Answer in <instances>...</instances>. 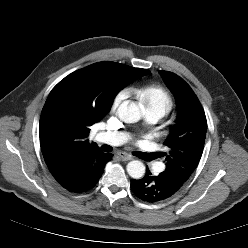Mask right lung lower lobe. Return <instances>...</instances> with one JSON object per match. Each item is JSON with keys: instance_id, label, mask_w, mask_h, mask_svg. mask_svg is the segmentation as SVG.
<instances>
[{"instance_id": "98d812e1", "label": "right lung lower lobe", "mask_w": 248, "mask_h": 248, "mask_svg": "<svg viewBox=\"0 0 248 248\" xmlns=\"http://www.w3.org/2000/svg\"><path fill=\"white\" fill-rule=\"evenodd\" d=\"M111 159V153H103L100 149L87 152L71 165L64 177L57 181L70 192H85L96 185L106 163Z\"/></svg>"}]
</instances>
